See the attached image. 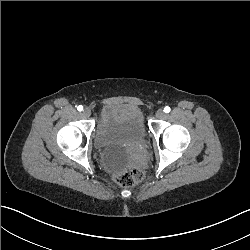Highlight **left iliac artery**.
<instances>
[{
    "mask_svg": "<svg viewBox=\"0 0 250 250\" xmlns=\"http://www.w3.org/2000/svg\"><path fill=\"white\" fill-rule=\"evenodd\" d=\"M170 110H171V109H170V107H168V106H166V107L164 108V112H165V113H169Z\"/></svg>",
    "mask_w": 250,
    "mask_h": 250,
    "instance_id": "left-iliac-artery-1",
    "label": "left iliac artery"
}]
</instances>
